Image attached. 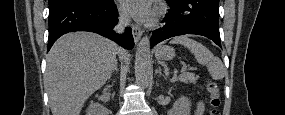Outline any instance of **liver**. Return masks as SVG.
Instances as JSON below:
<instances>
[{
	"mask_svg": "<svg viewBox=\"0 0 285 115\" xmlns=\"http://www.w3.org/2000/svg\"><path fill=\"white\" fill-rule=\"evenodd\" d=\"M126 51L89 32L60 37L47 55L44 82L52 115H79L89 96L108 80L116 55Z\"/></svg>",
	"mask_w": 285,
	"mask_h": 115,
	"instance_id": "1",
	"label": "liver"
}]
</instances>
